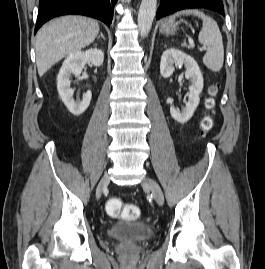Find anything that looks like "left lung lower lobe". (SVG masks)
I'll return each mask as SVG.
<instances>
[{
    "label": "left lung lower lobe",
    "instance_id": "obj_1",
    "mask_svg": "<svg viewBox=\"0 0 265 269\" xmlns=\"http://www.w3.org/2000/svg\"><path fill=\"white\" fill-rule=\"evenodd\" d=\"M206 8L224 15L222 0H161L156 19L183 9Z\"/></svg>",
    "mask_w": 265,
    "mask_h": 269
}]
</instances>
